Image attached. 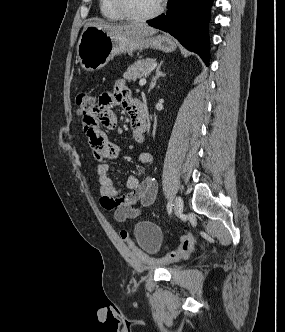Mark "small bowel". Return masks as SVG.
<instances>
[{
	"label": "small bowel",
	"mask_w": 285,
	"mask_h": 332,
	"mask_svg": "<svg viewBox=\"0 0 285 332\" xmlns=\"http://www.w3.org/2000/svg\"><path fill=\"white\" fill-rule=\"evenodd\" d=\"M95 102L94 107H90L89 111H84V115H81V122L93 155L100 161L97 167L100 204L104 209L113 211L116 221L124 222L139 216L138 206L148 207L153 204L157 196V183L151 176L140 181L132 174L126 182L129 192L121 194L111 178L110 165L105 160L120 157L122 149L109 142L103 130L113 129L116 126L117 118L112 108L117 106L123 107L128 113L132 136L136 142L143 141L147 124L142 120L139 102L131 96L123 81H118L112 92L96 96ZM137 159L141 166L153 163V156L149 152H140Z\"/></svg>",
	"instance_id": "small-bowel-1"
}]
</instances>
